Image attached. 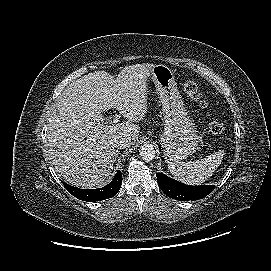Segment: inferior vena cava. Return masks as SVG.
<instances>
[{"label": "inferior vena cava", "instance_id": "602c4592", "mask_svg": "<svg viewBox=\"0 0 271 271\" xmlns=\"http://www.w3.org/2000/svg\"><path fill=\"white\" fill-rule=\"evenodd\" d=\"M115 145L119 149L128 148L132 145V139L129 135H121L115 139Z\"/></svg>", "mask_w": 271, "mask_h": 271}]
</instances>
